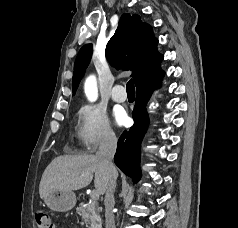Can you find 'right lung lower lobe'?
I'll use <instances>...</instances> for the list:
<instances>
[{
    "instance_id": "obj_1",
    "label": "right lung lower lobe",
    "mask_w": 238,
    "mask_h": 228,
    "mask_svg": "<svg viewBox=\"0 0 238 228\" xmlns=\"http://www.w3.org/2000/svg\"><path fill=\"white\" fill-rule=\"evenodd\" d=\"M163 76L164 72L159 69L155 75L136 86V103L132 112L134 125L129 131H124L118 140L114 161L134 182L140 179V147L149 123L146 104L154 88L160 86Z\"/></svg>"
}]
</instances>
